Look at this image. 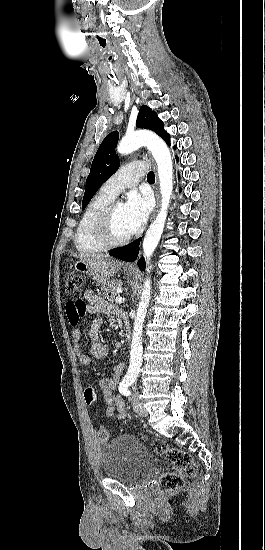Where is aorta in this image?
Returning a JSON list of instances; mask_svg holds the SVG:
<instances>
[{
	"instance_id": "aorta-1",
	"label": "aorta",
	"mask_w": 265,
	"mask_h": 550,
	"mask_svg": "<svg viewBox=\"0 0 265 550\" xmlns=\"http://www.w3.org/2000/svg\"><path fill=\"white\" fill-rule=\"evenodd\" d=\"M141 146H147L157 163L162 197L161 208L147 230L143 240V253L146 260H148L151 258L159 243L167 218L168 207L173 190V165L171 153L167 145L161 138L151 132L138 131L125 135L118 144L117 150L120 154L127 155ZM150 299L151 280L147 277L143 285L141 299L133 325L130 352L131 358L128 369V374L130 375H137L142 364V330Z\"/></svg>"
}]
</instances>
